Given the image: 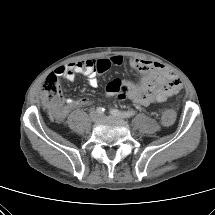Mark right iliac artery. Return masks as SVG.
<instances>
[{
    "instance_id": "obj_1",
    "label": "right iliac artery",
    "mask_w": 215,
    "mask_h": 215,
    "mask_svg": "<svg viewBox=\"0 0 215 215\" xmlns=\"http://www.w3.org/2000/svg\"><path fill=\"white\" fill-rule=\"evenodd\" d=\"M96 111H97L98 114H103L105 112V109L103 107H98L96 109Z\"/></svg>"
}]
</instances>
